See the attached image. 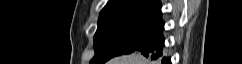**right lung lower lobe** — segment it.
Returning a JSON list of instances; mask_svg holds the SVG:
<instances>
[{
    "label": "right lung lower lobe",
    "mask_w": 242,
    "mask_h": 64,
    "mask_svg": "<svg viewBox=\"0 0 242 64\" xmlns=\"http://www.w3.org/2000/svg\"><path fill=\"white\" fill-rule=\"evenodd\" d=\"M164 24L162 27L137 50L145 57H151V60H156L163 56L164 38H163ZM162 64H171L170 57L163 56L161 58Z\"/></svg>",
    "instance_id": "98d812e1"
}]
</instances>
